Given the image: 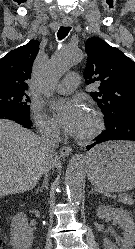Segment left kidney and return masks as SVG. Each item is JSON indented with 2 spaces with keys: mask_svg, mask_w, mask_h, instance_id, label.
<instances>
[{
  "mask_svg": "<svg viewBox=\"0 0 135 249\" xmlns=\"http://www.w3.org/2000/svg\"><path fill=\"white\" fill-rule=\"evenodd\" d=\"M99 219L112 218L123 230L124 239L120 249H133L135 245V224L127 210L113 208L111 206H100L97 210ZM104 249H117L108 238L103 239Z\"/></svg>",
  "mask_w": 135,
  "mask_h": 249,
  "instance_id": "1",
  "label": "left kidney"
}]
</instances>
